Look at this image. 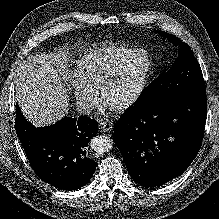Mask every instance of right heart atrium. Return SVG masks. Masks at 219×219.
<instances>
[{"mask_svg": "<svg viewBox=\"0 0 219 219\" xmlns=\"http://www.w3.org/2000/svg\"><path fill=\"white\" fill-rule=\"evenodd\" d=\"M70 86L74 92L76 102L83 111H89L97 100L96 89L90 87L77 76L70 80Z\"/></svg>", "mask_w": 219, "mask_h": 219, "instance_id": "d8ad5b80", "label": "right heart atrium"}]
</instances>
